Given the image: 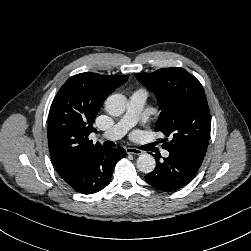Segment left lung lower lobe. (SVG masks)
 <instances>
[{"label":"left lung lower lobe","mask_w":251,"mask_h":251,"mask_svg":"<svg viewBox=\"0 0 251 251\" xmlns=\"http://www.w3.org/2000/svg\"><path fill=\"white\" fill-rule=\"evenodd\" d=\"M158 162L153 172L145 180L158 190L172 192L187 185L198 172L202 162L184 153L170 152L169 157Z\"/></svg>","instance_id":"obj_1"}]
</instances>
